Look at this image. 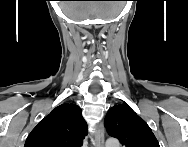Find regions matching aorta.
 Here are the masks:
<instances>
[{
    "label": "aorta",
    "mask_w": 188,
    "mask_h": 147,
    "mask_svg": "<svg viewBox=\"0 0 188 147\" xmlns=\"http://www.w3.org/2000/svg\"><path fill=\"white\" fill-rule=\"evenodd\" d=\"M106 147H119V141L115 138L107 139L105 143Z\"/></svg>",
    "instance_id": "762f6f07"
}]
</instances>
